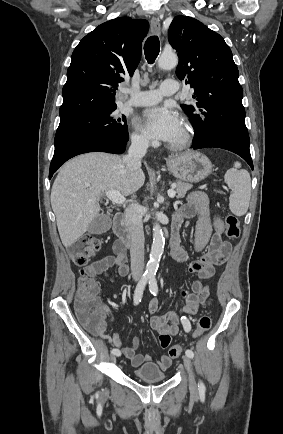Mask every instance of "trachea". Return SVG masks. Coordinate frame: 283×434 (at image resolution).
Wrapping results in <instances>:
<instances>
[{"mask_svg": "<svg viewBox=\"0 0 283 434\" xmlns=\"http://www.w3.org/2000/svg\"><path fill=\"white\" fill-rule=\"evenodd\" d=\"M160 51V42L157 36H150L144 45V53L149 64H153Z\"/></svg>", "mask_w": 283, "mask_h": 434, "instance_id": "1", "label": "trachea"}]
</instances>
